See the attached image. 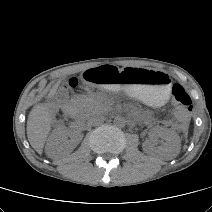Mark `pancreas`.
Returning a JSON list of instances; mask_svg holds the SVG:
<instances>
[{
	"label": "pancreas",
	"instance_id": "cf45deb5",
	"mask_svg": "<svg viewBox=\"0 0 212 212\" xmlns=\"http://www.w3.org/2000/svg\"><path fill=\"white\" fill-rule=\"evenodd\" d=\"M74 102L84 112L99 110L104 106L101 98L88 95H78Z\"/></svg>",
	"mask_w": 212,
	"mask_h": 212
}]
</instances>
